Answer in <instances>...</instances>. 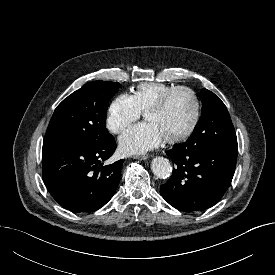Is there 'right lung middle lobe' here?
<instances>
[{"label": "right lung middle lobe", "instance_id": "dd1d6c3e", "mask_svg": "<svg viewBox=\"0 0 275 275\" xmlns=\"http://www.w3.org/2000/svg\"><path fill=\"white\" fill-rule=\"evenodd\" d=\"M117 82L93 81L65 98L55 109L43 145H98L112 135L106 129L107 107Z\"/></svg>", "mask_w": 275, "mask_h": 275}]
</instances>
